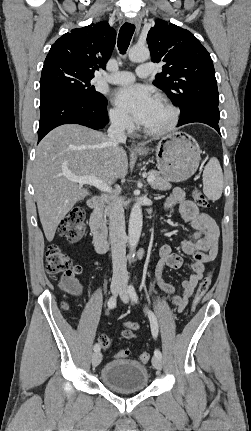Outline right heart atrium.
Here are the masks:
<instances>
[{
  "label": "right heart atrium",
  "instance_id": "1",
  "mask_svg": "<svg viewBox=\"0 0 251 431\" xmlns=\"http://www.w3.org/2000/svg\"><path fill=\"white\" fill-rule=\"evenodd\" d=\"M109 119L111 124L119 130L130 132L133 129V122L130 117L117 108H112L109 111Z\"/></svg>",
  "mask_w": 251,
  "mask_h": 431
}]
</instances>
